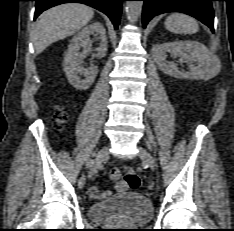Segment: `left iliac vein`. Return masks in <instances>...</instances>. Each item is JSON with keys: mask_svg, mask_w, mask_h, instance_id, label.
Here are the masks:
<instances>
[{"mask_svg": "<svg viewBox=\"0 0 234 231\" xmlns=\"http://www.w3.org/2000/svg\"><path fill=\"white\" fill-rule=\"evenodd\" d=\"M139 157L154 171L156 162L154 157L143 147H139Z\"/></svg>", "mask_w": 234, "mask_h": 231, "instance_id": "1", "label": "left iliac vein"}]
</instances>
